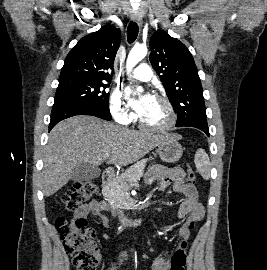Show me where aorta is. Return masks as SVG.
Here are the masks:
<instances>
[{
  "label": "aorta",
  "mask_w": 267,
  "mask_h": 270,
  "mask_svg": "<svg viewBox=\"0 0 267 270\" xmlns=\"http://www.w3.org/2000/svg\"><path fill=\"white\" fill-rule=\"evenodd\" d=\"M147 55V47L143 45L134 46L130 51L127 61H126V69L127 73H129L132 68L141 61ZM137 92H142V88L139 87Z\"/></svg>",
  "instance_id": "762f6f07"
}]
</instances>
